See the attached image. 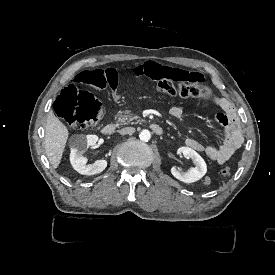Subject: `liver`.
<instances>
[{
	"label": "liver",
	"instance_id": "liver-1",
	"mask_svg": "<svg viewBox=\"0 0 275 275\" xmlns=\"http://www.w3.org/2000/svg\"><path fill=\"white\" fill-rule=\"evenodd\" d=\"M69 134L68 127L50 109L45 124L44 146L53 169H57L61 163Z\"/></svg>",
	"mask_w": 275,
	"mask_h": 275
}]
</instances>
